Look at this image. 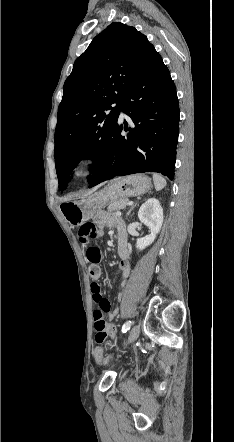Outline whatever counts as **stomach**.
Listing matches in <instances>:
<instances>
[{"mask_svg": "<svg viewBox=\"0 0 234 442\" xmlns=\"http://www.w3.org/2000/svg\"><path fill=\"white\" fill-rule=\"evenodd\" d=\"M151 187V179L143 174L120 177L100 191L78 200L63 202L60 208L71 225H81L91 220L109 201L142 195Z\"/></svg>", "mask_w": 234, "mask_h": 442, "instance_id": "obj_1", "label": "stomach"}]
</instances>
